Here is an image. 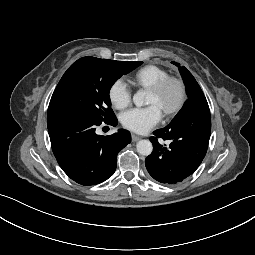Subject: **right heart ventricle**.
<instances>
[{
  "mask_svg": "<svg viewBox=\"0 0 255 255\" xmlns=\"http://www.w3.org/2000/svg\"><path fill=\"white\" fill-rule=\"evenodd\" d=\"M168 76H170V74L167 70L160 66L149 64L135 72L133 81L138 87L149 89Z\"/></svg>",
  "mask_w": 255,
  "mask_h": 255,
  "instance_id": "e07e8e85",
  "label": "right heart ventricle"
}]
</instances>
